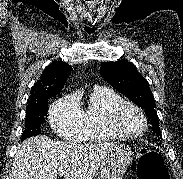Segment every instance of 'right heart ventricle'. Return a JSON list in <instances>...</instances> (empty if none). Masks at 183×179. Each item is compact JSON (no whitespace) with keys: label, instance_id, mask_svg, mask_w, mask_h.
<instances>
[{"label":"right heart ventricle","instance_id":"1","mask_svg":"<svg viewBox=\"0 0 183 179\" xmlns=\"http://www.w3.org/2000/svg\"><path fill=\"white\" fill-rule=\"evenodd\" d=\"M123 101L122 97L107 87H95L90 96L87 107L82 110L84 132L80 141L98 142L119 138L110 131L106 117L110 109Z\"/></svg>","mask_w":183,"mask_h":179}]
</instances>
